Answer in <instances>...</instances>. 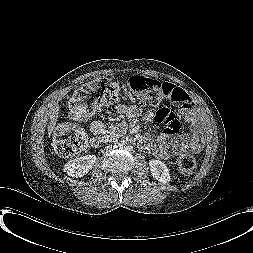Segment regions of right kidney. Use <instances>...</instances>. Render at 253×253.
Returning a JSON list of instances; mask_svg holds the SVG:
<instances>
[{
  "label": "right kidney",
  "instance_id": "1",
  "mask_svg": "<svg viewBox=\"0 0 253 253\" xmlns=\"http://www.w3.org/2000/svg\"><path fill=\"white\" fill-rule=\"evenodd\" d=\"M96 161L95 155H85L68 161L64 165V172L72 177H82L86 175L93 167Z\"/></svg>",
  "mask_w": 253,
  "mask_h": 253
}]
</instances>
